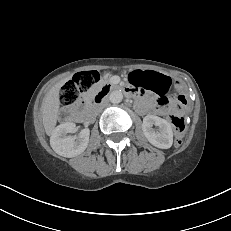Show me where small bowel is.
Here are the masks:
<instances>
[{
  "label": "small bowel",
  "instance_id": "1",
  "mask_svg": "<svg viewBox=\"0 0 231 231\" xmlns=\"http://www.w3.org/2000/svg\"><path fill=\"white\" fill-rule=\"evenodd\" d=\"M136 73L142 75L144 77L143 82L140 86L134 85L131 81V83L136 87H141L144 89L149 90L152 92L155 96H152L148 99L147 105H145L143 108H140L142 110H146L149 107L155 108V110L158 113H163L166 110V107H156L157 101L156 96H162L167 94L172 88L176 87L175 83L173 82L172 78L168 75H165L160 72L152 71V70H138L135 71ZM134 93L136 90L134 88H129ZM173 111L182 113L184 109L173 107Z\"/></svg>",
  "mask_w": 231,
  "mask_h": 231
}]
</instances>
